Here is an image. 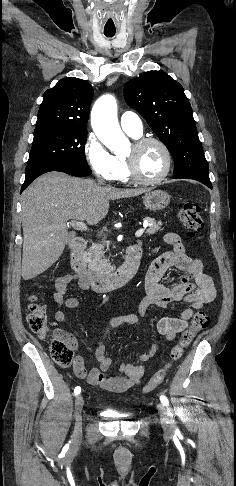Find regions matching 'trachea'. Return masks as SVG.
<instances>
[{"label": "trachea", "instance_id": "3493384b", "mask_svg": "<svg viewBox=\"0 0 236 486\" xmlns=\"http://www.w3.org/2000/svg\"><path fill=\"white\" fill-rule=\"evenodd\" d=\"M104 34L107 36V37H113L115 35V31H105L104 30Z\"/></svg>", "mask_w": 236, "mask_h": 486}]
</instances>
